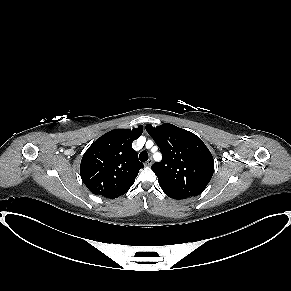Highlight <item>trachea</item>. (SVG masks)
<instances>
[{
  "instance_id": "1",
  "label": "trachea",
  "mask_w": 291,
  "mask_h": 291,
  "mask_svg": "<svg viewBox=\"0 0 291 291\" xmlns=\"http://www.w3.org/2000/svg\"><path fill=\"white\" fill-rule=\"evenodd\" d=\"M139 159L140 161L142 162H145L148 160V153L146 151H142L140 154H139Z\"/></svg>"
}]
</instances>
